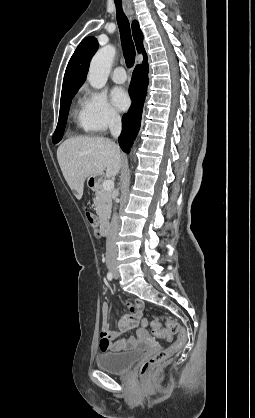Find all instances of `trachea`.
<instances>
[{"instance_id":"obj_1","label":"trachea","mask_w":255,"mask_h":418,"mask_svg":"<svg viewBox=\"0 0 255 418\" xmlns=\"http://www.w3.org/2000/svg\"><path fill=\"white\" fill-rule=\"evenodd\" d=\"M117 9V23L120 31L121 45L123 55L128 68H131L135 62V46L131 36L129 20L122 10L121 0H114Z\"/></svg>"}]
</instances>
